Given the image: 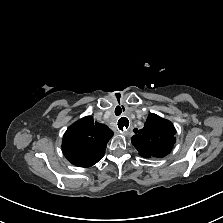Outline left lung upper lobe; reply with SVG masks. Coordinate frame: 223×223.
Masks as SVG:
<instances>
[{"instance_id": "obj_1", "label": "left lung upper lobe", "mask_w": 223, "mask_h": 223, "mask_svg": "<svg viewBox=\"0 0 223 223\" xmlns=\"http://www.w3.org/2000/svg\"><path fill=\"white\" fill-rule=\"evenodd\" d=\"M131 141L142 157H164L175 143L176 130L173 124L156 114H150L140 130L134 129Z\"/></svg>"}]
</instances>
